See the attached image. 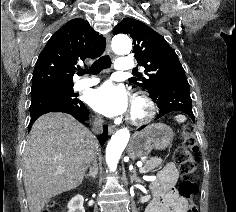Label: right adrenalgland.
<instances>
[{
    "label": "right adrenal gland",
    "mask_w": 236,
    "mask_h": 212,
    "mask_svg": "<svg viewBox=\"0 0 236 212\" xmlns=\"http://www.w3.org/2000/svg\"><path fill=\"white\" fill-rule=\"evenodd\" d=\"M96 175H97V169L94 168V169L90 170L88 174L85 175V178L86 179H89V178L95 179Z\"/></svg>",
    "instance_id": "1"
}]
</instances>
